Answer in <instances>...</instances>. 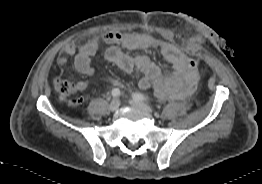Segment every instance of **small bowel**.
<instances>
[{
  "label": "small bowel",
  "mask_w": 262,
  "mask_h": 184,
  "mask_svg": "<svg viewBox=\"0 0 262 184\" xmlns=\"http://www.w3.org/2000/svg\"><path fill=\"white\" fill-rule=\"evenodd\" d=\"M191 41L194 44L204 45V36L193 34ZM106 59L124 72H137L142 74L138 82L140 89L154 88L159 98L184 99L191 96L195 90L199 72H191L186 61L189 56L182 52L169 40H162L146 34L109 32L101 39H92L81 46L68 44L58 54L57 61L60 65L66 64L72 57L76 70L83 75H92L91 58L104 46ZM139 49H157L163 58L170 64V68L162 70L156 63L145 55L132 56L128 52ZM87 84L78 83V90L84 93ZM84 97L78 98L82 103Z\"/></svg>",
  "instance_id": "small-bowel-1"
}]
</instances>
